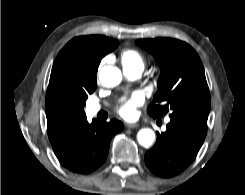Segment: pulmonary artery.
<instances>
[{
  "instance_id": "e3ab8cb5",
  "label": "pulmonary artery",
  "mask_w": 245,
  "mask_h": 195,
  "mask_svg": "<svg viewBox=\"0 0 245 195\" xmlns=\"http://www.w3.org/2000/svg\"><path fill=\"white\" fill-rule=\"evenodd\" d=\"M143 69L139 67L123 68L124 75L130 79L135 80L140 77ZM101 105L98 103H92L88 106V110L91 114H96L101 110ZM169 118L166 119V122H169Z\"/></svg>"
}]
</instances>
